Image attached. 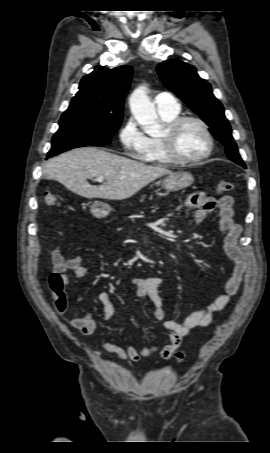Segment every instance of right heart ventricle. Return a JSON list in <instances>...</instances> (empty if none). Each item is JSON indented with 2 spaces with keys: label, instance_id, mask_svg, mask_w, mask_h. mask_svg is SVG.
<instances>
[{
  "label": "right heart ventricle",
  "instance_id": "e07e8e85",
  "mask_svg": "<svg viewBox=\"0 0 270 453\" xmlns=\"http://www.w3.org/2000/svg\"><path fill=\"white\" fill-rule=\"evenodd\" d=\"M177 113H160V117L163 122L168 123L178 116ZM142 162L151 163V164H160L166 165L171 164V162L166 155L164 154L162 147L159 142V138L149 137L147 148L144 153L139 157Z\"/></svg>",
  "mask_w": 270,
  "mask_h": 453
}]
</instances>
